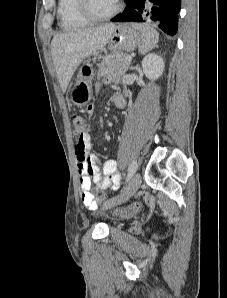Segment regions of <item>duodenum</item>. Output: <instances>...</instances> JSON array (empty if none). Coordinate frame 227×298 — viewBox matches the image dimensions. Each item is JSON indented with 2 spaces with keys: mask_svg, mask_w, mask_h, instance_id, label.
Here are the masks:
<instances>
[{
  "mask_svg": "<svg viewBox=\"0 0 227 298\" xmlns=\"http://www.w3.org/2000/svg\"><path fill=\"white\" fill-rule=\"evenodd\" d=\"M113 102H114V105L119 109L124 107V103L118 98L114 99Z\"/></svg>",
  "mask_w": 227,
  "mask_h": 298,
  "instance_id": "410a0bca",
  "label": "duodenum"
}]
</instances>
